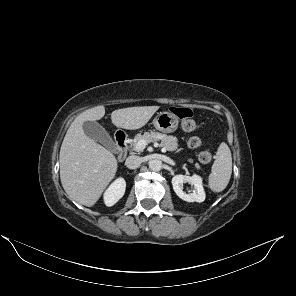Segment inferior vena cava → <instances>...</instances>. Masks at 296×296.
Returning <instances> with one entry per match:
<instances>
[{"mask_svg":"<svg viewBox=\"0 0 296 296\" xmlns=\"http://www.w3.org/2000/svg\"><path fill=\"white\" fill-rule=\"evenodd\" d=\"M141 158L139 156L136 155H131L126 159L125 165L129 168V169H136L140 166L141 164Z\"/></svg>","mask_w":296,"mask_h":296,"instance_id":"602c4592","label":"inferior vena cava"}]
</instances>
